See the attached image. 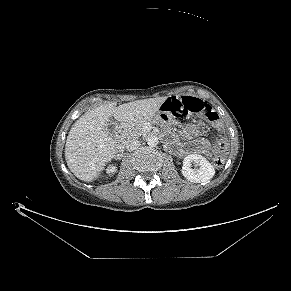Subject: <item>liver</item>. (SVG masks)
<instances>
[{"label": "liver", "instance_id": "6515ba94", "mask_svg": "<svg viewBox=\"0 0 291 291\" xmlns=\"http://www.w3.org/2000/svg\"><path fill=\"white\" fill-rule=\"evenodd\" d=\"M166 99L148 98L119 106L109 102L83 114L66 140L65 159L70 171L82 181H92L114 155L115 141L107 131L110 117L125 125L144 122L159 112Z\"/></svg>", "mask_w": 291, "mask_h": 291}]
</instances>
